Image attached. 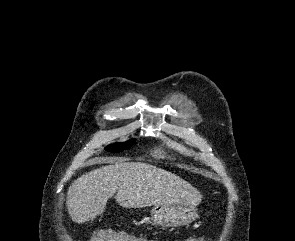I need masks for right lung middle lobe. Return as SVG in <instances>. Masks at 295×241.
Segmentation results:
<instances>
[{
	"label": "right lung middle lobe",
	"instance_id": "1",
	"mask_svg": "<svg viewBox=\"0 0 295 241\" xmlns=\"http://www.w3.org/2000/svg\"><path fill=\"white\" fill-rule=\"evenodd\" d=\"M135 142V140H130L124 144H115V145H111V146H108L106 148L107 151H110V152H120V151H123L125 149H128L130 146H132V144Z\"/></svg>",
	"mask_w": 295,
	"mask_h": 241
}]
</instances>
